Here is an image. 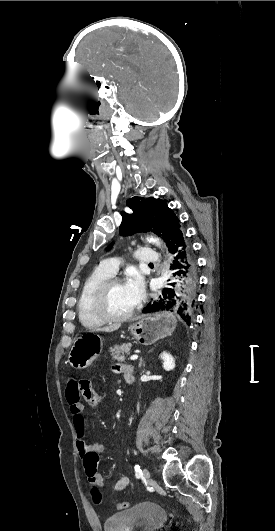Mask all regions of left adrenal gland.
<instances>
[{
    "instance_id": "1",
    "label": "left adrenal gland",
    "mask_w": 275,
    "mask_h": 531,
    "mask_svg": "<svg viewBox=\"0 0 275 531\" xmlns=\"http://www.w3.org/2000/svg\"><path fill=\"white\" fill-rule=\"evenodd\" d=\"M139 361H140V363H139L138 367H141L142 361H143L142 357H141V359H139Z\"/></svg>"
}]
</instances>
